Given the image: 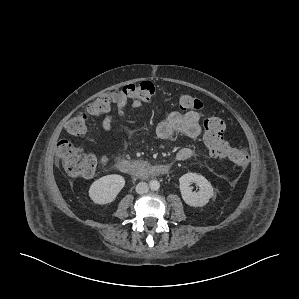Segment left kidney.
I'll use <instances>...</instances> for the list:
<instances>
[{
	"label": "left kidney",
	"instance_id": "obj_1",
	"mask_svg": "<svg viewBox=\"0 0 299 299\" xmlns=\"http://www.w3.org/2000/svg\"><path fill=\"white\" fill-rule=\"evenodd\" d=\"M191 183L199 186V191H192ZM179 186L182 198L186 204L193 207H202L214 197L213 187L202 175L196 173H186L179 178Z\"/></svg>",
	"mask_w": 299,
	"mask_h": 299
}]
</instances>
